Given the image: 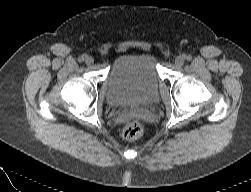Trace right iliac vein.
I'll use <instances>...</instances> for the list:
<instances>
[{"mask_svg": "<svg viewBox=\"0 0 251 192\" xmlns=\"http://www.w3.org/2000/svg\"><path fill=\"white\" fill-rule=\"evenodd\" d=\"M85 62H86V64L91 65V64H93L94 59L91 56H87L85 58Z\"/></svg>", "mask_w": 251, "mask_h": 192, "instance_id": "1", "label": "right iliac vein"}]
</instances>
